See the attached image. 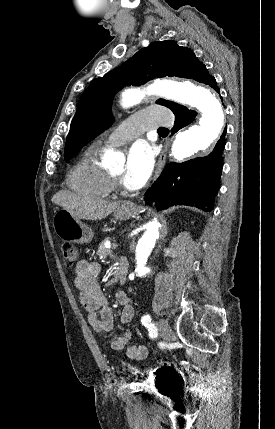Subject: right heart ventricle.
<instances>
[{"label": "right heart ventricle", "mask_w": 275, "mask_h": 429, "mask_svg": "<svg viewBox=\"0 0 275 429\" xmlns=\"http://www.w3.org/2000/svg\"><path fill=\"white\" fill-rule=\"evenodd\" d=\"M98 145L91 146L76 163L68 177L70 188L82 195L103 199L112 192L108 171L98 159Z\"/></svg>", "instance_id": "1"}]
</instances>
